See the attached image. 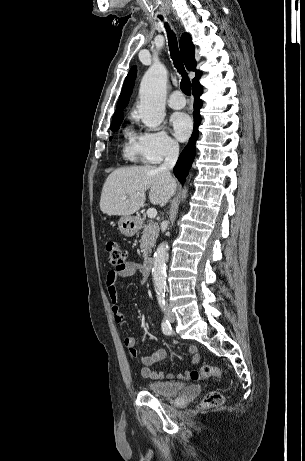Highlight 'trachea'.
<instances>
[{
    "mask_svg": "<svg viewBox=\"0 0 305 461\" xmlns=\"http://www.w3.org/2000/svg\"><path fill=\"white\" fill-rule=\"evenodd\" d=\"M165 27L167 29L168 43H169L171 58L173 60L174 66L177 68L178 72L182 75L181 90L184 94L190 96L191 95V83H190V79L188 78V75L185 71L183 62L180 57L177 38L175 34L170 30L167 23L165 24Z\"/></svg>",
    "mask_w": 305,
    "mask_h": 461,
    "instance_id": "trachea-1",
    "label": "trachea"
}]
</instances>
